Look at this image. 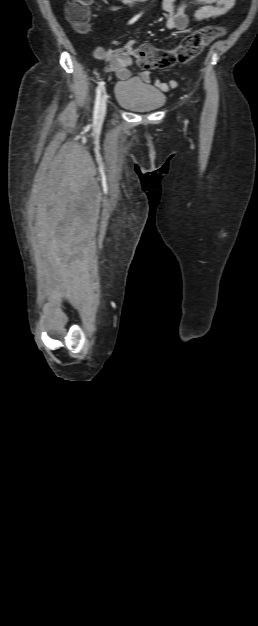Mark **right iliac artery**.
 <instances>
[{
  "label": "right iliac artery",
  "instance_id": "82829eb1",
  "mask_svg": "<svg viewBox=\"0 0 258 626\" xmlns=\"http://www.w3.org/2000/svg\"><path fill=\"white\" fill-rule=\"evenodd\" d=\"M141 14L136 15L134 18H132L129 21V24L134 23ZM104 82H100L97 92H96V97H95V104H94V117L96 118L98 116V112H99V106H100V99H101V92H102V88H103Z\"/></svg>",
  "mask_w": 258,
  "mask_h": 626
}]
</instances>
